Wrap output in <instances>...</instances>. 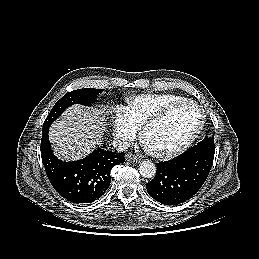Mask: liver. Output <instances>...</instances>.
I'll return each instance as SVG.
<instances>
[{
    "instance_id": "liver-1",
    "label": "liver",
    "mask_w": 259,
    "mask_h": 259,
    "mask_svg": "<svg viewBox=\"0 0 259 259\" xmlns=\"http://www.w3.org/2000/svg\"><path fill=\"white\" fill-rule=\"evenodd\" d=\"M104 117L82 106L68 108L50 128L49 136L56 155L62 160H78L101 144Z\"/></svg>"
}]
</instances>
